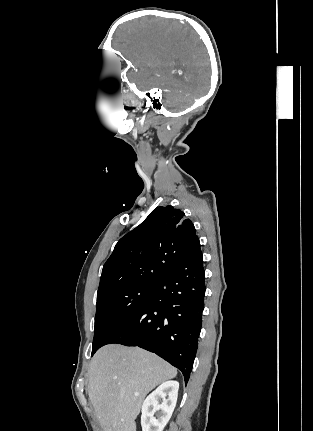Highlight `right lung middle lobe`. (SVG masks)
<instances>
[{"label": "right lung middle lobe", "mask_w": 313, "mask_h": 431, "mask_svg": "<svg viewBox=\"0 0 313 431\" xmlns=\"http://www.w3.org/2000/svg\"><path fill=\"white\" fill-rule=\"evenodd\" d=\"M156 287L125 288L97 299L92 355L139 309Z\"/></svg>", "instance_id": "1"}]
</instances>
